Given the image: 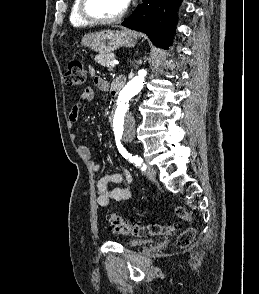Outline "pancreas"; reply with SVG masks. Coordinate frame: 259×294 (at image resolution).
<instances>
[{"label":"pancreas","mask_w":259,"mask_h":294,"mask_svg":"<svg viewBox=\"0 0 259 294\" xmlns=\"http://www.w3.org/2000/svg\"><path fill=\"white\" fill-rule=\"evenodd\" d=\"M115 58L116 56L114 53L98 54L95 57V61L104 67L110 68V64Z\"/></svg>","instance_id":"1"}]
</instances>
